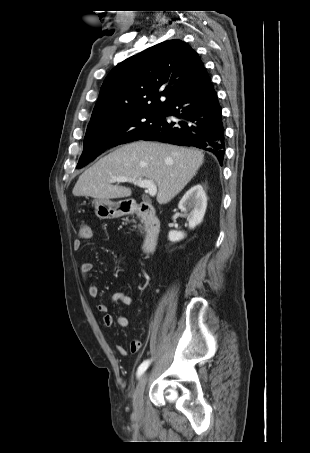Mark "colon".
<instances>
[{"label": "colon", "mask_w": 310, "mask_h": 453, "mask_svg": "<svg viewBox=\"0 0 310 453\" xmlns=\"http://www.w3.org/2000/svg\"><path fill=\"white\" fill-rule=\"evenodd\" d=\"M91 235V227L88 224H82L80 227V236L87 238Z\"/></svg>", "instance_id": "obj_1"}]
</instances>
